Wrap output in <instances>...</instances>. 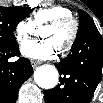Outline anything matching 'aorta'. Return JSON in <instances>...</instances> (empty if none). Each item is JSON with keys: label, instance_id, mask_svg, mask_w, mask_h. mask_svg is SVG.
Here are the masks:
<instances>
[{"label": "aorta", "instance_id": "762f6f07", "mask_svg": "<svg viewBox=\"0 0 103 103\" xmlns=\"http://www.w3.org/2000/svg\"><path fill=\"white\" fill-rule=\"evenodd\" d=\"M59 73L52 65L38 67L34 72L36 84L44 89L54 88L58 83Z\"/></svg>", "mask_w": 103, "mask_h": 103}]
</instances>
